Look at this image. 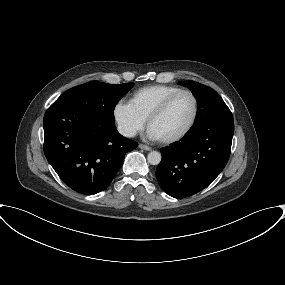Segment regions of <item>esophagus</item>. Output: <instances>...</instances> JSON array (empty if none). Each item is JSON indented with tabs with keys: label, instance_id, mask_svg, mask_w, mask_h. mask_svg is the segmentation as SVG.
<instances>
[{
	"label": "esophagus",
	"instance_id": "1",
	"mask_svg": "<svg viewBox=\"0 0 285 285\" xmlns=\"http://www.w3.org/2000/svg\"><path fill=\"white\" fill-rule=\"evenodd\" d=\"M139 148L140 149H143V150H146V151H151L152 148L147 146V145H144V144H139Z\"/></svg>",
	"mask_w": 285,
	"mask_h": 285
}]
</instances>
